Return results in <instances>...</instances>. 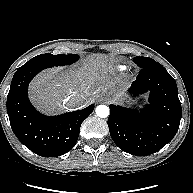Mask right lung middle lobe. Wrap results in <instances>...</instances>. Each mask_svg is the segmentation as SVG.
Returning a JSON list of instances; mask_svg holds the SVG:
<instances>
[{
  "label": "right lung middle lobe",
  "mask_w": 193,
  "mask_h": 193,
  "mask_svg": "<svg viewBox=\"0 0 193 193\" xmlns=\"http://www.w3.org/2000/svg\"><path fill=\"white\" fill-rule=\"evenodd\" d=\"M78 59V55L70 54V55H52V54H41L38 55L23 66H44L46 68L53 66H64L75 62Z\"/></svg>",
  "instance_id": "dd1d6c3e"
}]
</instances>
